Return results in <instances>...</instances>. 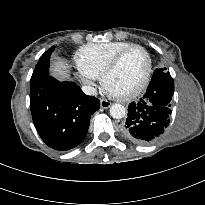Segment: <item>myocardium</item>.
<instances>
[{
	"label": "myocardium",
	"mask_w": 205,
	"mask_h": 205,
	"mask_svg": "<svg viewBox=\"0 0 205 205\" xmlns=\"http://www.w3.org/2000/svg\"><path fill=\"white\" fill-rule=\"evenodd\" d=\"M135 49L140 50L146 57L147 66H146V71H145L143 79L141 80L139 85L134 90L126 94L117 95V94L110 92L106 87V80L108 76L118 67L121 60L124 58V56L128 54L130 51L135 50ZM152 69H153V63H152V58L149 52L143 46L134 44L120 51L117 55L113 57V59L109 62V64L106 66V68L104 69L101 75V83H102L103 88L116 99L129 100V99L137 97L146 88L151 78Z\"/></svg>",
	"instance_id": "myocardium-1"
}]
</instances>
